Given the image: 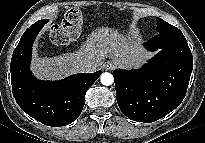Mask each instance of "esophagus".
Here are the masks:
<instances>
[{"instance_id":"obj_1","label":"esophagus","mask_w":205,"mask_h":143,"mask_svg":"<svg viewBox=\"0 0 205 143\" xmlns=\"http://www.w3.org/2000/svg\"><path fill=\"white\" fill-rule=\"evenodd\" d=\"M116 67V64L114 62L108 61L104 64V68L107 71L113 70Z\"/></svg>"}]
</instances>
